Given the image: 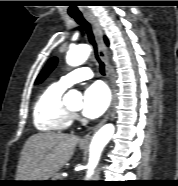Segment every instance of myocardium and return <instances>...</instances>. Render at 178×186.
I'll use <instances>...</instances> for the list:
<instances>
[{"instance_id":"f54148a6","label":"myocardium","mask_w":178,"mask_h":186,"mask_svg":"<svg viewBox=\"0 0 178 186\" xmlns=\"http://www.w3.org/2000/svg\"><path fill=\"white\" fill-rule=\"evenodd\" d=\"M66 108V113L67 115L69 116V118L72 120L75 118L76 116V112L75 111H72L71 109H69L68 107H65Z\"/></svg>"}]
</instances>
